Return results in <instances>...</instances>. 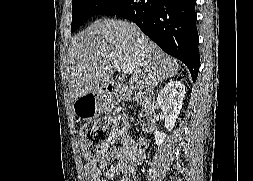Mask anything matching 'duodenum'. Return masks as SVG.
Wrapping results in <instances>:
<instances>
[{
  "mask_svg": "<svg viewBox=\"0 0 253 181\" xmlns=\"http://www.w3.org/2000/svg\"><path fill=\"white\" fill-rule=\"evenodd\" d=\"M107 96L112 102L124 101L126 99V91L122 86L107 87ZM145 104L144 116H143V129L147 133H151L156 127V115L154 113V101L148 96L144 95L142 100Z\"/></svg>",
  "mask_w": 253,
  "mask_h": 181,
  "instance_id": "410a0bca",
  "label": "duodenum"
}]
</instances>
